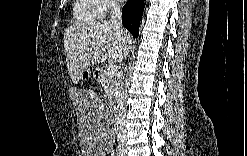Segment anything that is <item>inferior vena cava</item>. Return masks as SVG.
Wrapping results in <instances>:
<instances>
[{
	"label": "inferior vena cava",
	"mask_w": 247,
	"mask_h": 156,
	"mask_svg": "<svg viewBox=\"0 0 247 156\" xmlns=\"http://www.w3.org/2000/svg\"><path fill=\"white\" fill-rule=\"evenodd\" d=\"M110 22L116 27H120V28L122 27L121 6L117 1L111 2ZM128 55H129V49L125 51L124 57L126 58ZM125 115H126V105H125L123 82L121 76L118 82V98H117V106H116L117 130H118L119 138L126 137Z\"/></svg>",
	"instance_id": "obj_1"
}]
</instances>
